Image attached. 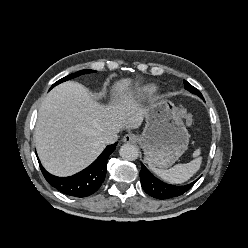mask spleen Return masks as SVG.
Here are the masks:
<instances>
[{
    "mask_svg": "<svg viewBox=\"0 0 248 248\" xmlns=\"http://www.w3.org/2000/svg\"><path fill=\"white\" fill-rule=\"evenodd\" d=\"M200 148L195 150V159L185 164H177L168 170L158 169L149 164L151 170L163 180L172 184H181L189 180L200 168L202 158L199 156Z\"/></svg>",
    "mask_w": 248,
    "mask_h": 248,
    "instance_id": "spleen-1",
    "label": "spleen"
}]
</instances>
